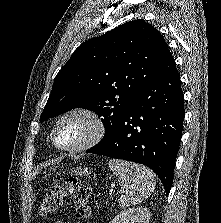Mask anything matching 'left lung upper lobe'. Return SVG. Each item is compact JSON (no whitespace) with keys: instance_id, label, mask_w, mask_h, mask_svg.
<instances>
[{"instance_id":"5c2ea615","label":"left lung upper lobe","mask_w":221,"mask_h":223,"mask_svg":"<svg viewBox=\"0 0 221 223\" xmlns=\"http://www.w3.org/2000/svg\"><path fill=\"white\" fill-rule=\"evenodd\" d=\"M169 53L161 33L144 20L120 25L81 44L58 72L40 122L74 108L92 110L109 137Z\"/></svg>"}]
</instances>
